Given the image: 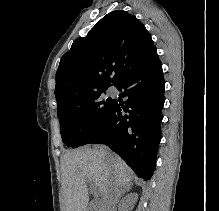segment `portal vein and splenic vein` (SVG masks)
Instances as JSON below:
<instances>
[{"instance_id": "obj_1", "label": "portal vein and splenic vein", "mask_w": 219, "mask_h": 211, "mask_svg": "<svg viewBox=\"0 0 219 211\" xmlns=\"http://www.w3.org/2000/svg\"><path fill=\"white\" fill-rule=\"evenodd\" d=\"M97 189H98V187H94L93 193H94L95 197H98V195H99V193H97Z\"/></svg>"}]
</instances>
